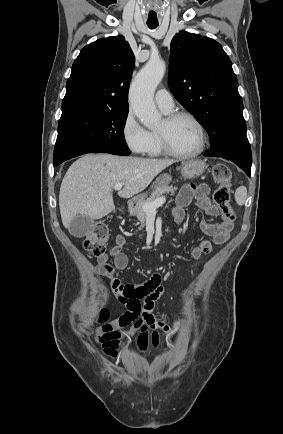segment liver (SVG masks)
Returning <instances> with one entry per match:
<instances>
[{
    "mask_svg": "<svg viewBox=\"0 0 283 434\" xmlns=\"http://www.w3.org/2000/svg\"><path fill=\"white\" fill-rule=\"evenodd\" d=\"M175 163L170 159H145L112 154H88L67 170L60 187L59 208L62 223L69 228L78 215L100 219L115 209L112 190L130 198L148 187L164 169Z\"/></svg>",
    "mask_w": 283,
    "mask_h": 434,
    "instance_id": "1",
    "label": "liver"
}]
</instances>
